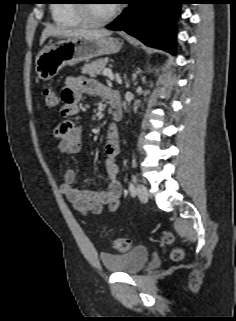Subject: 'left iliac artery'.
Here are the masks:
<instances>
[{
    "mask_svg": "<svg viewBox=\"0 0 236 321\" xmlns=\"http://www.w3.org/2000/svg\"><path fill=\"white\" fill-rule=\"evenodd\" d=\"M129 191L132 196H135L136 190H135V186L132 182L129 183Z\"/></svg>",
    "mask_w": 236,
    "mask_h": 321,
    "instance_id": "left-iliac-artery-1",
    "label": "left iliac artery"
}]
</instances>
